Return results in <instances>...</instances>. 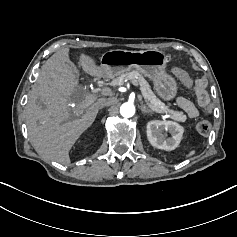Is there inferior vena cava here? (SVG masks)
Listing matches in <instances>:
<instances>
[{
    "label": "inferior vena cava",
    "mask_w": 237,
    "mask_h": 237,
    "mask_svg": "<svg viewBox=\"0 0 237 237\" xmlns=\"http://www.w3.org/2000/svg\"><path fill=\"white\" fill-rule=\"evenodd\" d=\"M115 102H116V98H114V97L102 98L101 99V107L111 106V105L115 104Z\"/></svg>",
    "instance_id": "1"
}]
</instances>
